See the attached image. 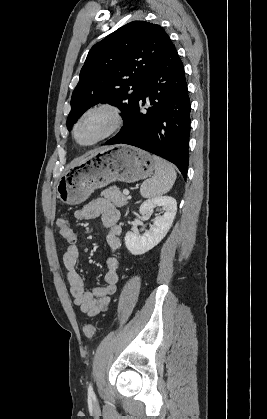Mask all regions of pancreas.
<instances>
[{"label": "pancreas", "mask_w": 267, "mask_h": 419, "mask_svg": "<svg viewBox=\"0 0 267 419\" xmlns=\"http://www.w3.org/2000/svg\"><path fill=\"white\" fill-rule=\"evenodd\" d=\"M101 196L105 197L117 207H123L128 203L126 196L116 186L109 187L102 191Z\"/></svg>", "instance_id": "obj_1"}]
</instances>
